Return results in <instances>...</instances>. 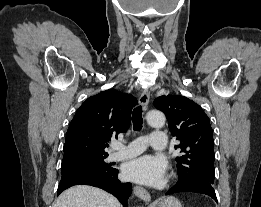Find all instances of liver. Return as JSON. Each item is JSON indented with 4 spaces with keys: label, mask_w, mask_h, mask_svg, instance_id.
Listing matches in <instances>:
<instances>
[{
    "label": "liver",
    "mask_w": 261,
    "mask_h": 207,
    "mask_svg": "<svg viewBox=\"0 0 261 207\" xmlns=\"http://www.w3.org/2000/svg\"><path fill=\"white\" fill-rule=\"evenodd\" d=\"M53 207H120L111 194L88 185H77L65 190Z\"/></svg>",
    "instance_id": "6515ba94"
}]
</instances>
